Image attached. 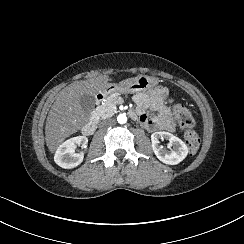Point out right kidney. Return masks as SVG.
Listing matches in <instances>:
<instances>
[{
  "label": "right kidney",
  "instance_id": "1",
  "mask_svg": "<svg viewBox=\"0 0 244 244\" xmlns=\"http://www.w3.org/2000/svg\"><path fill=\"white\" fill-rule=\"evenodd\" d=\"M88 139L86 136H76L68 139L61 144L54 155V162L63 169H73L83 161V154L76 153L78 146L87 147ZM73 154L74 157H69Z\"/></svg>",
  "mask_w": 244,
  "mask_h": 244
}]
</instances>
